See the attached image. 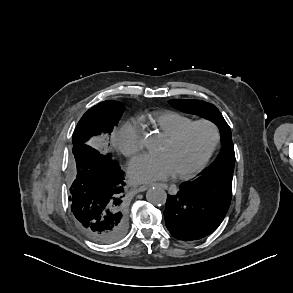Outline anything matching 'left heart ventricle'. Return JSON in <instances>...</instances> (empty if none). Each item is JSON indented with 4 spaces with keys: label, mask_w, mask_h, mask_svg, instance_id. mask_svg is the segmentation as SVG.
Wrapping results in <instances>:
<instances>
[{
    "label": "left heart ventricle",
    "mask_w": 293,
    "mask_h": 293,
    "mask_svg": "<svg viewBox=\"0 0 293 293\" xmlns=\"http://www.w3.org/2000/svg\"><path fill=\"white\" fill-rule=\"evenodd\" d=\"M213 139L212 130L205 125L192 127L178 142L164 141L160 154L166 155L175 173L191 170L201 160Z\"/></svg>",
    "instance_id": "b2bd125f"
}]
</instances>
